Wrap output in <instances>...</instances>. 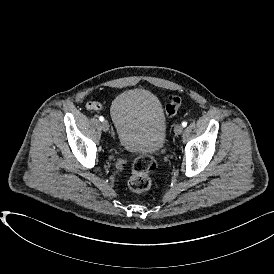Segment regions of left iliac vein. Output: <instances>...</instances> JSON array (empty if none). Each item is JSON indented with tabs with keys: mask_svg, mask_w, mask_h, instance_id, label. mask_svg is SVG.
Listing matches in <instances>:
<instances>
[{
	"mask_svg": "<svg viewBox=\"0 0 274 274\" xmlns=\"http://www.w3.org/2000/svg\"><path fill=\"white\" fill-rule=\"evenodd\" d=\"M183 132V126L181 124H177L175 127H174V133L176 135H180L181 133Z\"/></svg>",
	"mask_w": 274,
	"mask_h": 274,
	"instance_id": "4c4485c4",
	"label": "left iliac vein"
}]
</instances>
